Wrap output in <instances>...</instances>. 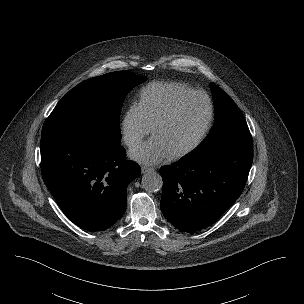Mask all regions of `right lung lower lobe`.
<instances>
[{"mask_svg": "<svg viewBox=\"0 0 304 304\" xmlns=\"http://www.w3.org/2000/svg\"><path fill=\"white\" fill-rule=\"evenodd\" d=\"M41 172L64 214L90 232L103 231L126 209V189L141 171L120 145L92 134L41 138Z\"/></svg>", "mask_w": 304, "mask_h": 304, "instance_id": "1", "label": "right lung lower lobe"}]
</instances>
